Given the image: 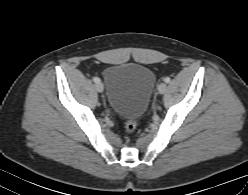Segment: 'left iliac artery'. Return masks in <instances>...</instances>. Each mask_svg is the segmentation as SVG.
Instances as JSON below:
<instances>
[{
  "label": "left iliac artery",
  "mask_w": 248,
  "mask_h": 195,
  "mask_svg": "<svg viewBox=\"0 0 248 195\" xmlns=\"http://www.w3.org/2000/svg\"><path fill=\"white\" fill-rule=\"evenodd\" d=\"M164 81H165L166 83H169V82H170V78H169V77H166V78L164 79Z\"/></svg>",
  "instance_id": "44dca946"
}]
</instances>
